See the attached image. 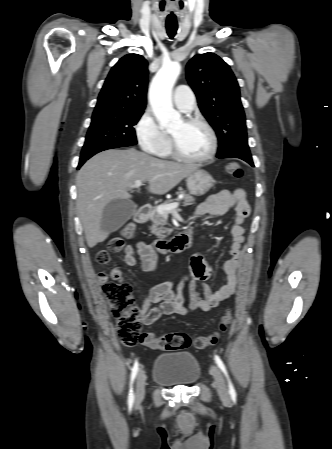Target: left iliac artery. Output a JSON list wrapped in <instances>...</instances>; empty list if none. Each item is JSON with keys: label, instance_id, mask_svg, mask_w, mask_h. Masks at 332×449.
<instances>
[{"label": "left iliac artery", "instance_id": "left-iliac-artery-1", "mask_svg": "<svg viewBox=\"0 0 332 449\" xmlns=\"http://www.w3.org/2000/svg\"><path fill=\"white\" fill-rule=\"evenodd\" d=\"M215 361H216L218 367L222 370V372L225 374V376H226V378L228 380V387H229L230 395L232 397H235L236 396V391H235L234 386H233V384H232V382H231V380H230V378L228 376V373H227V370H226V367H225L223 361L221 360V358L218 355H215Z\"/></svg>", "mask_w": 332, "mask_h": 449}]
</instances>
